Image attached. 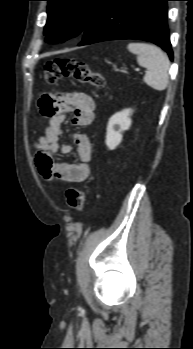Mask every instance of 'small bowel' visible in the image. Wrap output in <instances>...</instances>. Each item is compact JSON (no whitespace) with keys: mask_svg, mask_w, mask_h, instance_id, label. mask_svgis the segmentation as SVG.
<instances>
[{"mask_svg":"<svg viewBox=\"0 0 193 349\" xmlns=\"http://www.w3.org/2000/svg\"><path fill=\"white\" fill-rule=\"evenodd\" d=\"M95 102L93 98L82 91H71L61 94L52 113L42 115L48 122L44 133L34 143L37 149L36 166L47 180H57L63 183H79L91 175L90 161L92 147L89 137L83 133L73 135L75 151L79 162L66 163L55 159L56 155H68L72 152L70 144L62 142V125L68 113L72 114L74 126L85 127L94 119Z\"/></svg>","mask_w":193,"mask_h":349,"instance_id":"obj_1","label":"small bowel"}]
</instances>
